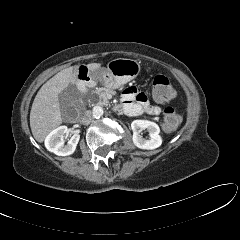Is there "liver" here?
Wrapping results in <instances>:
<instances>
[{
    "instance_id": "6515ba94",
    "label": "liver",
    "mask_w": 240,
    "mask_h": 240,
    "mask_svg": "<svg viewBox=\"0 0 240 240\" xmlns=\"http://www.w3.org/2000/svg\"><path fill=\"white\" fill-rule=\"evenodd\" d=\"M92 72L101 68L100 63L86 65ZM78 66H71L49 79L38 91L30 112V127L33 137L42 143L54 128L62 123L60 112L59 94L70 84H76Z\"/></svg>"
}]
</instances>
